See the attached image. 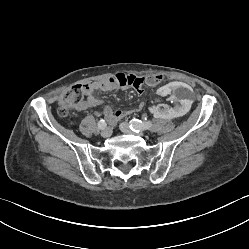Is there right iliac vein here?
I'll use <instances>...</instances> for the list:
<instances>
[{
	"mask_svg": "<svg viewBox=\"0 0 249 249\" xmlns=\"http://www.w3.org/2000/svg\"><path fill=\"white\" fill-rule=\"evenodd\" d=\"M111 134H112V129L110 127H106L101 131V136L104 138L111 136Z\"/></svg>",
	"mask_w": 249,
	"mask_h": 249,
	"instance_id": "63e3f726",
	"label": "right iliac vein"
}]
</instances>
